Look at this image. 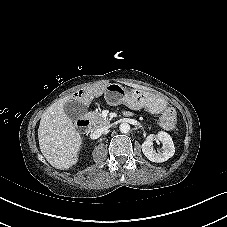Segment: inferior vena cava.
<instances>
[{"label":"inferior vena cava","mask_w":227,"mask_h":227,"mask_svg":"<svg viewBox=\"0 0 227 227\" xmlns=\"http://www.w3.org/2000/svg\"><path fill=\"white\" fill-rule=\"evenodd\" d=\"M108 129H109V126H104V127L95 129L94 132L92 133V138L93 139L99 138L103 133L107 132Z\"/></svg>","instance_id":"obj_1"}]
</instances>
